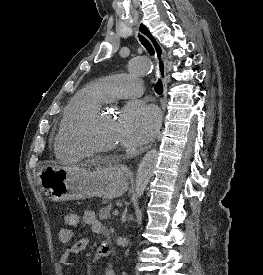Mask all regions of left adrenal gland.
<instances>
[{"instance_id":"left-adrenal-gland-1","label":"left adrenal gland","mask_w":263,"mask_h":275,"mask_svg":"<svg viewBox=\"0 0 263 275\" xmlns=\"http://www.w3.org/2000/svg\"><path fill=\"white\" fill-rule=\"evenodd\" d=\"M121 220H122V222H125L127 220L126 211L123 213Z\"/></svg>"}]
</instances>
